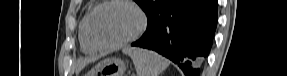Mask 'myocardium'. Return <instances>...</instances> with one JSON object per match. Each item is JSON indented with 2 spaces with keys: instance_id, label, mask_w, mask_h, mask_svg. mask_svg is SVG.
Wrapping results in <instances>:
<instances>
[{
  "instance_id": "myocardium-1",
  "label": "myocardium",
  "mask_w": 287,
  "mask_h": 76,
  "mask_svg": "<svg viewBox=\"0 0 287 76\" xmlns=\"http://www.w3.org/2000/svg\"><path fill=\"white\" fill-rule=\"evenodd\" d=\"M115 3H121V4H125V5H128L129 7H131L139 16V20H140L139 26L133 34H131L130 36H128L122 40H119V41L114 42V43H103V42L99 41L93 33V19H94L95 14L101 8L108 6V5H111V4H115ZM147 24H148V19H147L146 13L134 1H131V0H107V1H103V2L99 3L97 6H95L90 11V13L87 16L86 31H87V35H88L89 40L98 49H107V50L108 49H117V48H120L124 45H127L129 43L136 41L145 32V30L147 28Z\"/></svg>"
}]
</instances>
